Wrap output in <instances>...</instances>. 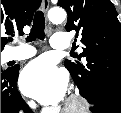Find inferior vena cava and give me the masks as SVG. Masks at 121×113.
Returning <instances> with one entry per match:
<instances>
[{"label":"inferior vena cava","instance_id":"1","mask_svg":"<svg viewBox=\"0 0 121 113\" xmlns=\"http://www.w3.org/2000/svg\"><path fill=\"white\" fill-rule=\"evenodd\" d=\"M29 105H30V107H31L32 109H35V108H36V105H35V103H33V102H29Z\"/></svg>","mask_w":121,"mask_h":113}]
</instances>
